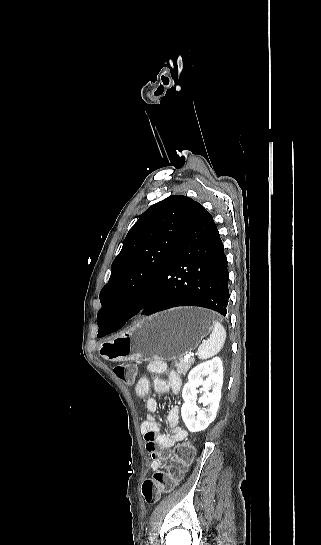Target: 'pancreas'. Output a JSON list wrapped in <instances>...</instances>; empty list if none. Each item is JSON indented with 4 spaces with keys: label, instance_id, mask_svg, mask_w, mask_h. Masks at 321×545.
Listing matches in <instances>:
<instances>
[{
    "label": "pancreas",
    "instance_id": "obj_1",
    "mask_svg": "<svg viewBox=\"0 0 321 545\" xmlns=\"http://www.w3.org/2000/svg\"><path fill=\"white\" fill-rule=\"evenodd\" d=\"M194 363V359H187V361L186 359H179V361H174L172 365L173 367H176L177 375H183V377H185Z\"/></svg>",
    "mask_w": 321,
    "mask_h": 545
}]
</instances>
